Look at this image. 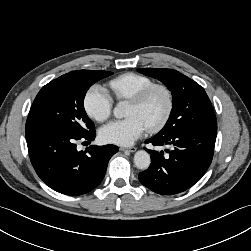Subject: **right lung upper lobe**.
<instances>
[{
	"instance_id": "1",
	"label": "right lung upper lobe",
	"mask_w": 251,
	"mask_h": 251,
	"mask_svg": "<svg viewBox=\"0 0 251 251\" xmlns=\"http://www.w3.org/2000/svg\"><path fill=\"white\" fill-rule=\"evenodd\" d=\"M74 72H76V71H73V72H70V73H67V74H72V73H74ZM67 74H65V75H67Z\"/></svg>"
}]
</instances>
